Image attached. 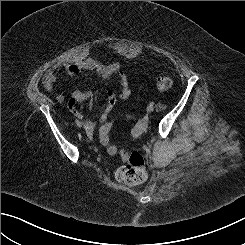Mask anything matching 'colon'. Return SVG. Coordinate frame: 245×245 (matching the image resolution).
Wrapping results in <instances>:
<instances>
[{
    "label": "colon",
    "mask_w": 245,
    "mask_h": 245,
    "mask_svg": "<svg viewBox=\"0 0 245 245\" xmlns=\"http://www.w3.org/2000/svg\"><path fill=\"white\" fill-rule=\"evenodd\" d=\"M172 86V79L168 76H159L156 80V88L160 91H166ZM113 123L109 122L100 129V141L111 155H120L124 164L116 171V179L127 185H138L146 180L147 172L144 158L138 152L125 153L120 152L116 147L110 144L109 134Z\"/></svg>",
    "instance_id": "1"
}]
</instances>
